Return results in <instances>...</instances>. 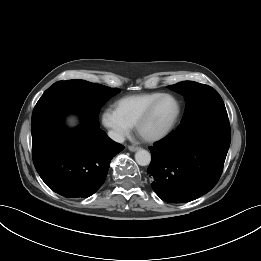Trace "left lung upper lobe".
I'll list each match as a JSON object with an SVG mask.
<instances>
[{
    "label": "left lung upper lobe",
    "instance_id": "obj_1",
    "mask_svg": "<svg viewBox=\"0 0 261 261\" xmlns=\"http://www.w3.org/2000/svg\"><path fill=\"white\" fill-rule=\"evenodd\" d=\"M168 88L183 95L187 102L182 122L178 128L188 127L203 119L227 115L221 96L208 85L183 81L169 85Z\"/></svg>",
    "mask_w": 261,
    "mask_h": 261
}]
</instances>
